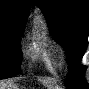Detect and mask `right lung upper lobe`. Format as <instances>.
Segmentation results:
<instances>
[{
  "label": "right lung upper lobe",
  "instance_id": "1",
  "mask_svg": "<svg viewBox=\"0 0 89 89\" xmlns=\"http://www.w3.org/2000/svg\"><path fill=\"white\" fill-rule=\"evenodd\" d=\"M32 0H0V18L25 24Z\"/></svg>",
  "mask_w": 89,
  "mask_h": 89
}]
</instances>
